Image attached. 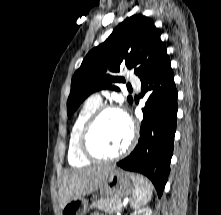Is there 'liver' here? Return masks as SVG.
<instances>
[{"mask_svg":"<svg viewBox=\"0 0 221 215\" xmlns=\"http://www.w3.org/2000/svg\"><path fill=\"white\" fill-rule=\"evenodd\" d=\"M113 167L101 165L67 172L59 188L60 208L72 199L97 191Z\"/></svg>","mask_w":221,"mask_h":215,"instance_id":"6515ba94","label":"liver"}]
</instances>
